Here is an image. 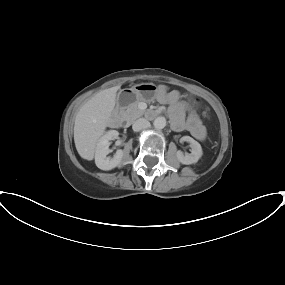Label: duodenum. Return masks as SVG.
Here are the masks:
<instances>
[{"mask_svg":"<svg viewBox=\"0 0 285 285\" xmlns=\"http://www.w3.org/2000/svg\"><path fill=\"white\" fill-rule=\"evenodd\" d=\"M160 114V111L159 110H147L145 113H144V116L146 118H149V119H152V118H156L158 117ZM117 122L118 124H120L121 126H128V122H126L125 120H123L122 118L118 117L117 118Z\"/></svg>","mask_w":285,"mask_h":285,"instance_id":"1","label":"duodenum"}]
</instances>
